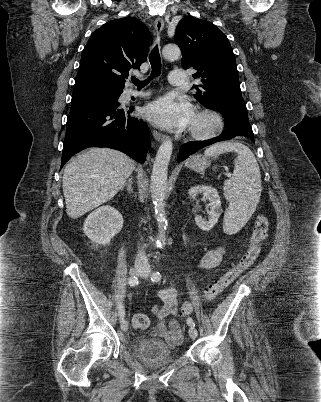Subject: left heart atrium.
<instances>
[{"label": "left heart atrium", "mask_w": 321, "mask_h": 402, "mask_svg": "<svg viewBox=\"0 0 321 402\" xmlns=\"http://www.w3.org/2000/svg\"><path fill=\"white\" fill-rule=\"evenodd\" d=\"M145 116L154 124L167 129H182L189 126L194 116L188 102L163 97L145 108Z\"/></svg>", "instance_id": "1"}]
</instances>
